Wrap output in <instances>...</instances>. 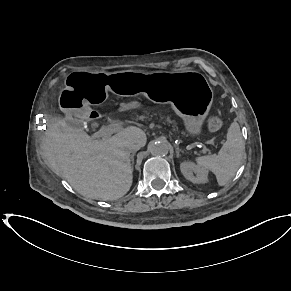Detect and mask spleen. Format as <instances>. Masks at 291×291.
Segmentation results:
<instances>
[{
    "label": "spleen",
    "instance_id": "spleen-1",
    "mask_svg": "<svg viewBox=\"0 0 291 291\" xmlns=\"http://www.w3.org/2000/svg\"><path fill=\"white\" fill-rule=\"evenodd\" d=\"M245 144L240 127L233 122L227 132V140L217 155L196 158L198 165L210 170L220 186L226 185L236 174L244 156Z\"/></svg>",
    "mask_w": 291,
    "mask_h": 291
}]
</instances>
